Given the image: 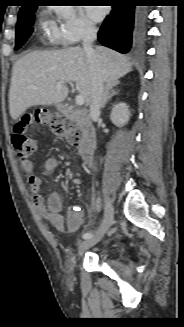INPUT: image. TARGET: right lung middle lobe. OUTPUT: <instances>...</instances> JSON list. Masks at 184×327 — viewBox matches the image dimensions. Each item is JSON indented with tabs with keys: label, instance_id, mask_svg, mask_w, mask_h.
Masks as SVG:
<instances>
[{
	"label": "right lung middle lobe",
	"instance_id": "right-lung-middle-lobe-1",
	"mask_svg": "<svg viewBox=\"0 0 184 327\" xmlns=\"http://www.w3.org/2000/svg\"><path fill=\"white\" fill-rule=\"evenodd\" d=\"M36 8L37 6L19 12L18 21L16 25L15 50H18L33 32L34 13L36 11Z\"/></svg>",
	"mask_w": 184,
	"mask_h": 327
}]
</instances>
